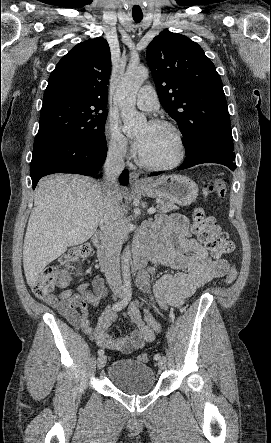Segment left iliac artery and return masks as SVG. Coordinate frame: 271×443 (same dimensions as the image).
Returning <instances> with one entry per match:
<instances>
[{
  "label": "left iliac artery",
  "instance_id": "left-iliac-artery-1",
  "mask_svg": "<svg viewBox=\"0 0 271 443\" xmlns=\"http://www.w3.org/2000/svg\"><path fill=\"white\" fill-rule=\"evenodd\" d=\"M160 358H161V354H155V355H154V359H155V360H159Z\"/></svg>",
  "mask_w": 271,
  "mask_h": 443
}]
</instances>
